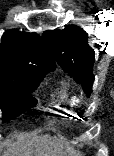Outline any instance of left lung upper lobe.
Wrapping results in <instances>:
<instances>
[{"label": "left lung upper lobe", "mask_w": 114, "mask_h": 156, "mask_svg": "<svg viewBox=\"0 0 114 156\" xmlns=\"http://www.w3.org/2000/svg\"><path fill=\"white\" fill-rule=\"evenodd\" d=\"M43 38L58 64L82 84L89 96L94 81L95 53L88 44V34L78 26L70 25L63 30L45 31Z\"/></svg>", "instance_id": "obj_1"}]
</instances>
